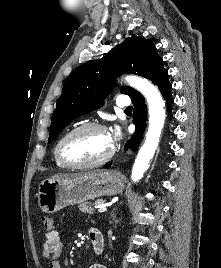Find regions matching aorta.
Masks as SVG:
<instances>
[{"mask_svg": "<svg viewBox=\"0 0 221 268\" xmlns=\"http://www.w3.org/2000/svg\"><path fill=\"white\" fill-rule=\"evenodd\" d=\"M125 81L141 92L148 102L149 127L143 146L135 159L131 179L138 182L148 168L149 162L158 147L165 121L164 101L158 89L148 80L138 76H127Z\"/></svg>", "mask_w": 221, "mask_h": 268, "instance_id": "762f6f07", "label": "aorta"}]
</instances>
